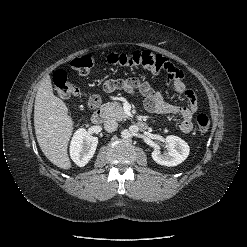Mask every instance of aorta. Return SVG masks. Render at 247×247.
I'll return each instance as SVG.
<instances>
[{"mask_svg":"<svg viewBox=\"0 0 247 247\" xmlns=\"http://www.w3.org/2000/svg\"><path fill=\"white\" fill-rule=\"evenodd\" d=\"M121 137H122L123 139H128V138H130V137H131L130 131L127 130V129L122 130V131H121Z\"/></svg>","mask_w":247,"mask_h":247,"instance_id":"1","label":"aorta"}]
</instances>
